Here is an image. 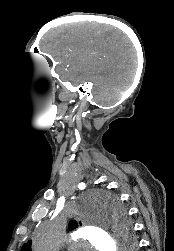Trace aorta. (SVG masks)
Listing matches in <instances>:
<instances>
[{
    "label": "aorta",
    "instance_id": "obj_1",
    "mask_svg": "<svg viewBox=\"0 0 174 251\" xmlns=\"http://www.w3.org/2000/svg\"><path fill=\"white\" fill-rule=\"evenodd\" d=\"M86 224L71 235L73 241L87 240L98 251H131V236L116 219L100 213L96 202L92 203L85 215ZM110 230V235L107 231ZM62 234L53 225H48L39 233L37 246L42 251H54L61 244Z\"/></svg>",
    "mask_w": 174,
    "mask_h": 251
}]
</instances>
